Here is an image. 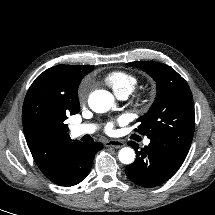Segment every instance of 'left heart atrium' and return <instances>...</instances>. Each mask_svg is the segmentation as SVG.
<instances>
[{
	"label": "left heart atrium",
	"mask_w": 215,
	"mask_h": 215,
	"mask_svg": "<svg viewBox=\"0 0 215 215\" xmlns=\"http://www.w3.org/2000/svg\"><path fill=\"white\" fill-rule=\"evenodd\" d=\"M105 131L107 133H113L114 131V122H108L105 126Z\"/></svg>",
	"instance_id": "left-heart-atrium-1"
}]
</instances>
